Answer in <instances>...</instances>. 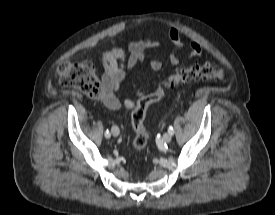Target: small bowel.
<instances>
[{
    "label": "small bowel",
    "mask_w": 275,
    "mask_h": 215,
    "mask_svg": "<svg viewBox=\"0 0 275 215\" xmlns=\"http://www.w3.org/2000/svg\"><path fill=\"white\" fill-rule=\"evenodd\" d=\"M169 39L174 46L173 52L170 54V60L174 65H179L182 60L178 56V51L184 47L182 38L175 28L169 31ZM157 47L155 40L151 38L132 40L128 44L129 55L118 46H112L102 54L101 60L104 68L102 75L103 84V102L111 110H119L121 102L116 96V92L121 88L127 71L134 69L138 64L143 63L146 59L148 50ZM203 50L199 43L195 41L189 42V57H197L202 54ZM162 63L158 59H152L150 68L153 72L160 71ZM138 96L143 97V93ZM124 105L128 109L135 107V102L127 98Z\"/></svg>",
    "instance_id": "1"
}]
</instances>
